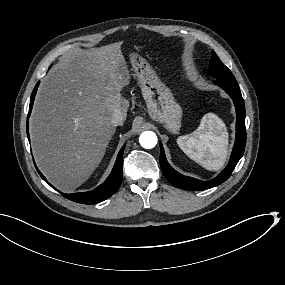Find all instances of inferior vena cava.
Here are the masks:
<instances>
[{
	"label": "inferior vena cava",
	"mask_w": 285,
	"mask_h": 285,
	"mask_svg": "<svg viewBox=\"0 0 285 285\" xmlns=\"http://www.w3.org/2000/svg\"><path fill=\"white\" fill-rule=\"evenodd\" d=\"M125 119H126V117L122 114V112L120 110H116L113 113V116L111 118V122L114 126H119V125H123V122Z\"/></svg>",
	"instance_id": "inferior-vena-cava-1"
}]
</instances>
